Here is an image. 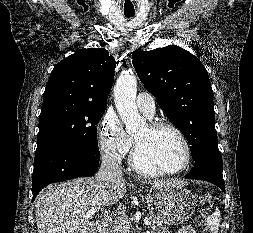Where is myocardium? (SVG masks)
Returning a JSON list of instances; mask_svg holds the SVG:
<instances>
[{
  "label": "myocardium",
  "instance_id": "obj_1",
  "mask_svg": "<svg viewBox=\"0 0 253 233\" xmlns=\"http://www.w3.org/2000/svg\"><path fill=\"white\" fill-rule=\"evenodd\" d=\"M149 128L152 131H159V130L172 131L178 137V139L180 140V142L183 146V150H184L183 161L178 167H176L174 169H169V170L147 169L144 166H142V164L139 161L138 143L135 140L134 147H133L132 154H131V159H130L131 166L138 173H140L144 176H148V177L172 176V175L179 174V173L183 172L184 170H186L191 162L192 151H191L190 143H189L187 137L185 136V134L183 133V131L180 128H178L176 125L169 123V122H164V121L151 122L149 124Z\"/></svg>",
  "mask_w": 253,
  "mask_h": 233
}]
</instances>
